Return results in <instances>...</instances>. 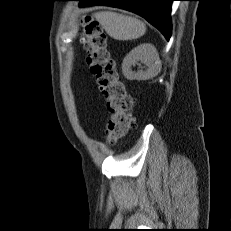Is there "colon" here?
<instances>
[{
	"mask_svg": "<svg viewBox=\"0 0 231 231\" xmlns=\"http://www.w3.org/2000/svg\"><path fill=\"white\" fill-rule=\"evenodd\" d=\"M83 41L89 55L87 63L100 91L107 101L110 113L105 139L114 144L124 137L132 124L133 98L116 70V65L107 48V37L99 22L89 20L83 28Z\"/></svg>",
	"mask_w": 231,
	"mask_h": 231,
	"instance_id": "obj_1",
	"label": "colon"
}]
</instances>
